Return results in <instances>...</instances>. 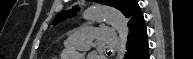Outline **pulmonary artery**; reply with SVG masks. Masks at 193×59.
Wrapping results in <instances>:
<instances>
[{"mask_svg": "<svg viewBox=\"0 0 193 59\" xmlns=\"http://www.w3.org/2000/svg\"><path fill=\"white\" fill-rule=\"evenodd\" d=\"M98 40L102 43L115 46L119 43L116 34L103 27H82L79 30L70 32L65 40V46L73 48H89L90 44Z\"/></svg>", "mask_w": 193, "mask_h": 59, "instance_id": "1", "label": "pulmonary artery"}]
</instances>
